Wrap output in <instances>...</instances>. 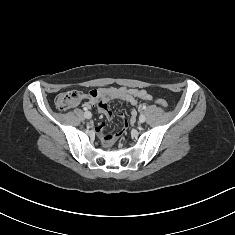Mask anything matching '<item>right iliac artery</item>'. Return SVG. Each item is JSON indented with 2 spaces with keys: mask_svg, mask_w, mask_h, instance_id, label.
Wrapping results in <instances>:
<instances>
[{
  "mask_svg": "<svg viewBox=\"0 0 235 235\" xmlns=\"http://www.w3.org/2000/svg\"><path fill=\"white\" fill-rule=\"evenodd\" d=\"M83 109H84L85 113L88 112V108L87 107H84Z\"/></svg>",
  "mask_w": 235,
  "mask_h": 235,
  "instance_id": "right-iliac-artery-1",
  "label": "right iliac artery"
}]
</instances>
